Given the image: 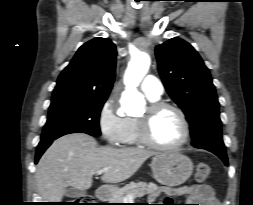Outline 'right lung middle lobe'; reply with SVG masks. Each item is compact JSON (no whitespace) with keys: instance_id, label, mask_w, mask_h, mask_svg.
<instances>
[{"instance_id":"right-lung-middle-lobe-1","label":"right lung middle lobe","mask_w":253,"mask_h":205,"mask_svg":"<svg viewBox=\"0 0 253 205\" xmlns=\"http://www.w3.org/2000/svg\"><path fill=\"white\" fill-rule=\"evenodd\" d=\"M106 99L69 97L52 100L41 139L76 132L100 136L99 116Z\"/></svg>"}]
</instances>
